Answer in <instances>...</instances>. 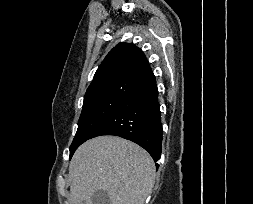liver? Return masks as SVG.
<instances>
[{
    "instance_id": "6515ba94",
    "label": "liver",
    "mask_w": 253,
    "mask_h": 204,
    "mask_svg": "<svg viewBox=\"0 0 253 204\" xmlns=\"http://www.w3.org/2000/svg\"><path fill=\"white\" fill-rule=\"evenodd\" d=\"M155 172L153 159L139 145L112 135L90 139L70 162L68 204H92L97 190L106 191L111 204H144Z\"/></svg>"
}]
</instances>
